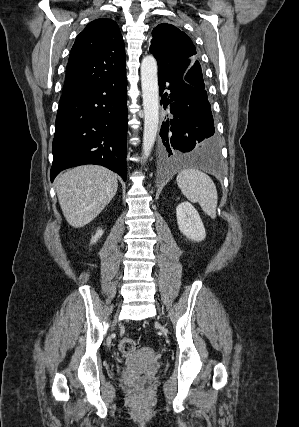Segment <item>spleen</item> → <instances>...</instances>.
<instances>
[{
  "label": "spleen",
  "instance_id": "obj_1",
  "mask_svg": "<svg viewBox=\"0 0 299 427\" xmlns=\"http://www.w3.org/2000/svg\"><path fill=\"white\" fill-rule=\"evenodd\" d=\"M176 181L188 200L198 202L207 215L211 218L216 217L217 189L207 174L196 169H185L179 172Z\"/></svg>",
  "mask_w": 299,
  "mask_h": 427
}]
</instances>
